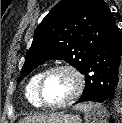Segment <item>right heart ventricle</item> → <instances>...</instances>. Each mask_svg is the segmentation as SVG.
I'll return each instance as SVG.
<instances>
[{"mask_svg":"<svg viewBox=\"0 0 122 123\" xmlns=\"http://www.w3.org/2000/svg\"><path fill=\"white\" fill-rule=\"evenodd\" d=\"M43 70L37 71L34 73L27 82L25 88V96L28 102L34 107H42L43 105L40 103L37 97V85L41 75L43 74Z\"/></svg>","mask_w":122,"mask_h":123,"instance_id":"obj_1","label":"right heart ventricle"}]
</instances>
